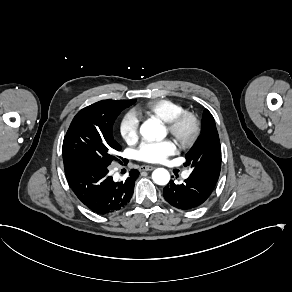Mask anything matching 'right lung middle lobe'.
<instances>
[{
    "label": "right lung middle lobe",
    "instance_id": "right-lung-middle-lobe-1",
    "mask_svg": "<svg viewBox=\"0 0 292 292\" xmlns=\"http://www.w3.org/2000/svg\"><path fill=\"white\" fill-rule=\"evenodd\" d=\"M134 100H102L80 110L64 137L63 160H84L109 166L121 146L114 139L113 124Z\"/></svg>",
    "mask_w": 292,
    "mask_h": 292
}]
</instances>
